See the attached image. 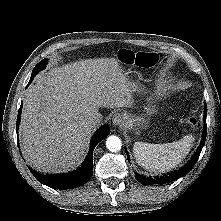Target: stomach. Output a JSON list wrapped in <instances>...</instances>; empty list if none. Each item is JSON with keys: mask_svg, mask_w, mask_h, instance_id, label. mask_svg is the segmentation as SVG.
Masks as SVG:
<instances>
[{"mask_svg": "<svg viewBox=\"0 0 221 221\" xmlns=\"http://www.w3.org/2000/svg\"><path fill=\"white\" fill-rule=\"evenodd\" d=\"M137 89V87H135ZM147 113L150 115L155 112V108L153 106L146 107ZM147 119L141 116L129 115L127 119V125L130 129H133L136 134L140 133L141 129L147 127Z\"/></svg>", "mask_w": 221, "mask_h": 221, "instance_id": "stomach-1", "label": "stomach"}]
</instances>
